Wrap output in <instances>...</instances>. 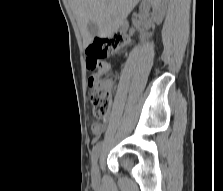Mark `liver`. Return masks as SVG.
I'll list each match as a JSON object with an SVG mask.
<instances>
[{
  "label": "liver",
  "mask_w": 223,
  "mask_h": 191,
  "mask_svg": "<svg viewBox=\"0 0 223 191\" xmlns=\"http://www.w3.org/2000/svg\"><path fill=\"white\" fill-rule=\"evenodd\" d=\"M139 1L70 0L85 46H88L94 37L90 35L87 28L89 22H94L97 25L99 37H109L118 31Z\"/></svg>",
  "instance_id": "6515ba94"
}]
</instances>
